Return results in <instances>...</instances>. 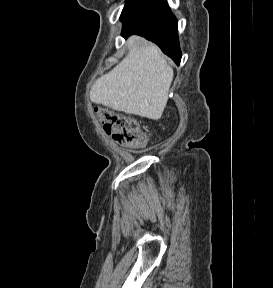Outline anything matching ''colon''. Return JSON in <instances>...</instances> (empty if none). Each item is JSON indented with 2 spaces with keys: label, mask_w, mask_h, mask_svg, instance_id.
Instances as JSON below:
<instances>
[{
  "label": "colon",
  "mask_w": 273,
  "mask_h": 288,
  "mask_svg": "<svg viewBox=\"0 0 273 288\" xmlns=\"http://www.w3.org/2000/svg\"><path fill=\"white\" fill-rule=\"evenodd\" d=\"M95 114L116 144L132 148L145 145L146 134L133 117L102 107L96 108Z\"/></svg>",
  "instance_id": "5ec220e1"
}]
</instances>
